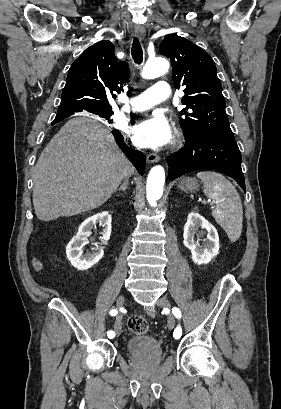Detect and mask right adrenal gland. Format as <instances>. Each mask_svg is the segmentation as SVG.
<instances>
[{"label": "right adrenal gland", "instance_id": "2a0ac1e0", "mask_svg": "<svg viewBox=\"0 0 281 409\" xmlns=\"http://www.w3.org/2000/svg\"><path fill=\"white\" fill-rule=\"evenodd\" d=\"M127 188H128V178L124 180L123 184H121V186H119L117 190H123V192H126Z\"/></svg>", "mask_w": 281, "mask_h": 409}]
</instances>
